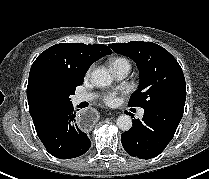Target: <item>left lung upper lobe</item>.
<instances>
[{
    "label": "left lung upper lobe",
    "mask_w": 209,
    "mask_h": 179,
    "mask_svg": "<svg viewBox=\"0 0 209 179\" xmlns=\"http://www.w3.org/2000/svg\"><path fill=\"white\" fill-rule=\"evenodd\" d=\"M117 53L136 62L140 72L138 89L129 106L147 108L162 105H185L186 85L177 60L163 47L152 42L109 44Z\"/></svg>",
    "instance_id": "left-lung-upper-lobe-1"
}]
</instances>
